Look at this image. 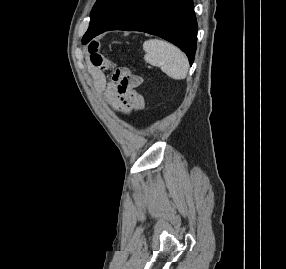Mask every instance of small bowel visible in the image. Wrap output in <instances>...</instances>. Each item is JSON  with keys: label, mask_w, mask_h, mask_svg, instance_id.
I'll use <instances>...</instances> for the list:
<instances>
[{"label": "small bowel", "mask_w": 286, "mask_h": 269, "mask_svg": "<svg viewBox=\"0 0 286 269\" xmlns=\"http://www.w3.org/2000/svg\"><path fill=\"white\" fill-rule=\"evenodd\" d=\"M90 64L89 68L92 76V84L94 90L97 93H105L107 100L111 108L123 115H129L133 111L138 110H126L125 100H121L118 88H116V82L114 80V63L105 58L97 49L96 45L89 46ZM143 105H141V109Z\"/></svg>", "instance_id": "1"}]
</instances>
